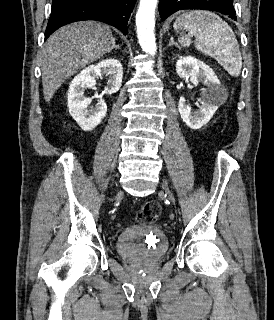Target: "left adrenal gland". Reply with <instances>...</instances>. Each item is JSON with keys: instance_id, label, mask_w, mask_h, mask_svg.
<instances>
[{"instance_id": "obj_1", "label": "left adrenal gland", "mask_w": 274, "mask_h": 320, "mask_svg": "<svg viewBox=\"0 0 274 320\" xmlns=\"http://www.w3.org/2000/svg\"><path fill=\"white\" fill-rule=\"evenodd\" d=\"M168 46H176V48H178V50H181L179 44H176V42H174L173 38H170V44H168Z\"/></svg>"}]
</instances>
